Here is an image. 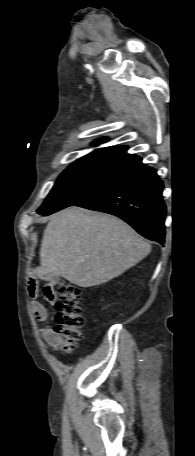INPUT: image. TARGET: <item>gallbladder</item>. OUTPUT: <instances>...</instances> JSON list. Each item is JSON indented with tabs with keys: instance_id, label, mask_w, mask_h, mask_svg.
<instances>
[{
	"instance_id": "bac80fb5",
	"label": "gallbladder",
	"mask_w": 195,
	"mask_h": 456,
	"mask_svg": "<svg viewBox=\"0 0 195 456\" xmlns=\"http://www.w3.org/2000/svg\"><path fill=\"white\" fill-rule=\"evenodd\" d=\"M45 279H46L47 281H49V283L52 285V284H54V281L57 279V276H56V275H53V276L47 275V276L45 277Z\"/></svg>"
}]
</instances>
